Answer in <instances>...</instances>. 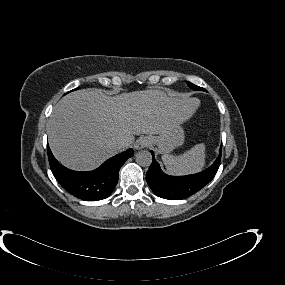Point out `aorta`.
Segmentation results:
<instances>
[{"instance_id":"obj_1","label":"aorta","mask_w":285,"mask_h":285,"mask_svg":"<svg viewBox=\"0 0 285 285\" xmlns=\"http://www.w3.org/2000/svg\"><path fill=\"white\" fill-rule=\"evenodd\" d=\"M136 162L143 167L150 166L152 163V155L147 150H141L136 154Z\"/></svg>"}]
</instances>
